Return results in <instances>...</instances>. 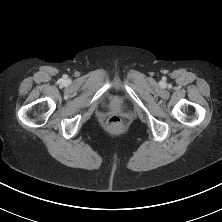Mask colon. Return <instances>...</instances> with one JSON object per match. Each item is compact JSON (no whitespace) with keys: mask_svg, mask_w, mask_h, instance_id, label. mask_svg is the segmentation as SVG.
<instances>
[{"mask_svg":"<svg viewBox=\"0 0 222 222\" xmlns=\"http://www.w3.org/2000/svg\"><path fill=\"white\" fill-rule=\"evenodd\" d=\"M107 124L111 128L118 129L123 125L122 118L118 115H112L108 118Z\"/></svg>","mask_w":222,"mask_h":222,"instance_id":"1","label":"colon"}]
</instances>
